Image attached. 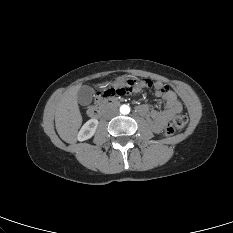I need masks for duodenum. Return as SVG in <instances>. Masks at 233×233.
Masks as SVG:
<instances>
[{"mask_svg":"<svg viewBox=\"0 0 233 233\" xmlns=\"http://www.w3.org/2000/svg\"><path fill=\"white\" fill-rule=\"evenodd\" d=\"M119 101L117 99H107L104 102L92 106L88 110V115L92 119H99L107 110L117 106Z\"/></svg>","mask_w":233,"mask_h":233,"instance_id":"duodenum-1","label":"duodenum"}]
</instances>
